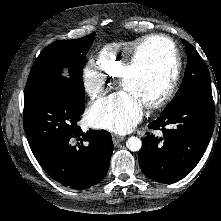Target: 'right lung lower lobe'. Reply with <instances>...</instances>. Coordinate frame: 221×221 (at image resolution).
Returning a JSON list of instances; mask_svg holds the SVG:
<instances>
[{"label": "right lung lower lobe", "mask_w": 221, "mask_h": 221, "mask_svg": "<svg viewBox=\"0 0 221 221\" xmlns=\"http://www.w3.org/2000/svg\"><path fill=\"white\" fill-rule=\"evenodd\" d=\"M84 110V94L64 80L24 99V129L35 158L51 178L72 189L102 181L113 152L109 132L80 130Z\"/></svg>", "instance_id": "right-lung-lower-lobe-1"}]
</instances>
